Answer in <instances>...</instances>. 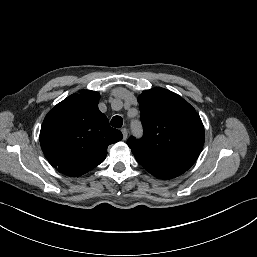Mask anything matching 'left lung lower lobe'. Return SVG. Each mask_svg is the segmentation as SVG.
Masks as SVG:
<instances>
[{
  "label": "left lung lower lobe",
  "instance_id": "0a47b994",
  "mask_svg": "<svg viewBox=\"0 0 257 257\" xmlns=\"http://www.w3.org/2000/svg\"><path fill=\"white\" fill-rule=\"evenodd\" d=\"M148 172H150L152 175L161 179L174 178L184 173V172H178V171H159V170H150Z\"/></svg>",
  "mask_w": 257,
  "mask_h": 257
}]
</instances>
